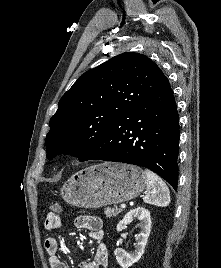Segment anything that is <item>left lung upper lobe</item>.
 Listing matches in <instances>:
<instances>
[{
	"label": "left lung upper lobe",
	"instance_id": "5c2ea615",
	"mask_svg": "<svg viewBox=\"0 0 221 268\" xmlns=\"http://www.w3.org/2000/svg\"><path fill=\"white\" fill-rule=\"evenodd\" d=\"M168 85L154 62L133 52L88 70L63 95L50 119L47 158L65 152L87 161L120 116Z\"/></svg>",
	"mask_w": 221,
	"mask_h": 268
}]
</instances>
